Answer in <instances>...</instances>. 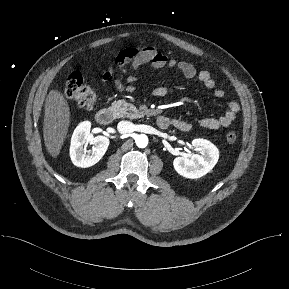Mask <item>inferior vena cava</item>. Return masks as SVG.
Here are the masks:
<instances>
[{
    "instance_id": "1",
    "label": "inferior vena cava",
    "mask_w": 289,
    "mask_h": 289,
    "mask_svg": "<svg viewBox=\"0 0 289 289\" xmlns=\"http://www.w3.org/2000/svg\"><path fill=\"white\" fill-rule=\"evenodd\" d=\"M117 129L121 134L130 133L134 130V124L130 121H120L117 125Z\"/></svg>"
}]
</instances>
